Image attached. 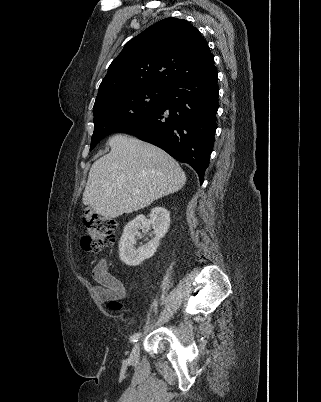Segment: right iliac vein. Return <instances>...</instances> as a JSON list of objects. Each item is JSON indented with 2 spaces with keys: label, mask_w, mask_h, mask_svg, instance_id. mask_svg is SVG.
I'll return each instance as SVG.
<instances>
[{
  "label": "right iliac vein",
  "mask_w": 321,
  "mask_h": 402,
  "mask_svg": "<svg viewBox=\"0 0 321 402\" xmlns=\"http://www.w3.org/2000/svg\"><path fill=\"white\" fill-rule=\"evenodd\" d=\"M138 357H139V343H135L130 354V361L137 362Z\"/></svg>",
  "instance_id": "right-iliac-vein-1"
}]
</instances>
